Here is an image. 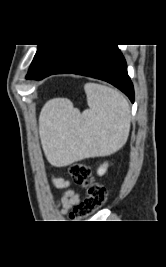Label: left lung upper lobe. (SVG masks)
<instances>
[{"label": "left lung upper lobe", "mask_w": 166, "mask_h": 267, "mask_svg": "<svg viewBox=\"0 0 166 267\" xmlns=\"http://www.w3.org/2000/svg\"><path fill=\"white\" fill-rule=\"evenodd\" d=\"M56 47L55 44L50 45H38L37 52L34 59L30 65L26 79H32L38 68L40 67L42 61L45 57Z\"/></svg>", "instance_id": "5c2ea615"}]
</instances>
